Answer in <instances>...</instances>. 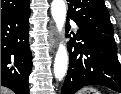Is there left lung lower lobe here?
<instances>
[{"label":"left lung lower lobe","instance_id":"left-lung-lower-lobe-1","mask_svg":"<svg viewBox=\"0 0 121 94\" xmlns=\"http://www.w3.org/2000/svg\"><path fill=\"white\" fill-rule=\"evenodd\" d=\"M74 36L68 43L69 67L61 94H74L87 85L106 86L121 93V66L114 37L82 27Z\"/></svg>","mask_w":121,"mask_h":94}]
</instances>
